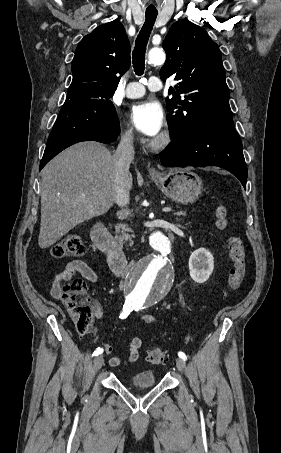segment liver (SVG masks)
Returning <instances> with one entry per match:
<instances>
[{
    "instance_id": "obj_1",
    "label": "liver",
    "mask_w": 281,
    "mask_h": 453,
    "mask_svg": "<svg viewBox=\"0 0 281 453\" xmlns=\"http://www.w3.org/2000/svg\"><path fill=\"white\" fill-rule=\"evenodd\" d=\"M116 162L95 140L77 142L52 158L42 170L38 245L47 249L77 227L107 212L116 202ZM132 186V174L128 176Z\"/></svg>"
}]
</instances>
